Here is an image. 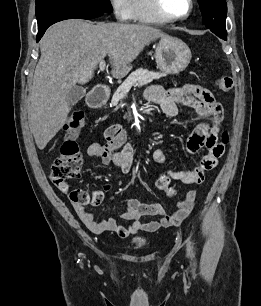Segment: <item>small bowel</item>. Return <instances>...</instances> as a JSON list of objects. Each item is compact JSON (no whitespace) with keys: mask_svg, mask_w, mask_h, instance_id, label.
<instances>
[{"mask_svg":"<svg viewBox=\"0 0 261 306\" xmlns=\"http://www.w3.org/2000/svg\"><path fill=\"white\" fill-rule=\"evenodd\" d=\"M145 97L148 101L160 106L169 117H175L178 113L177 105L182 104L194 108L202 119L187 140L189 152L193 153L206 148L200 165L193 169L167 167L165 170L173 180L185 184H201L205 179V172L217 165L225 150V145L218 140V131L223 119L222 106L207 89L193 84L168 90L160 86H152L146 90ZM105 139L104 144L97 142L90 144L87 154L101 159L104 164L115 165L124 174L129 173L134 161V149L131 143L126 141L124 130L119 125H111L105 130ZM153 159L160 165L168 164L166 154L161 149L153 152ZM99 193L103 198L104 192L99 191ZM195 197L196 191L190 190L172 214H166L163 206L158 203L146 204L138 199H126L124 201L126 210L119 219L130 221V225L119 224L115 217L98 220L83 205L75 202L73 205L80 220L92 232L97 234L114 232L119 237L126 238L140 230L154 232L161 227L180 225L190 214ZM144 216H159L160 219L143 222L141 218Z\"/></svg>","mask_w":261,"mask_h":306,"instance_id":"1","label":"small bowel"}]
</instances>
